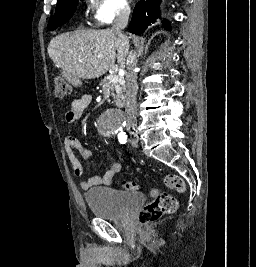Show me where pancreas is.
Listing matches in <instances>:
<instances>
[{
  "label": "pancreas",
  "mask_w": 256,
  "mask_h": 267,
  "mask_svg": "<svg viewBox=\"0 0 256 267\" xmlns=\"http://www.w3.org/2000/svg\"><path fill=\"white\" fill-rule=\"evenodd\" d=\"M114 76V74H112ZM105 94H109V96H112L114 98L115 104L117 106H123L124 104V86H125V80L123 76H118V82H111V80H103L101 84Z\"/></svg>",
  "instance_id": "pancreas-1"
}]
</instances>
